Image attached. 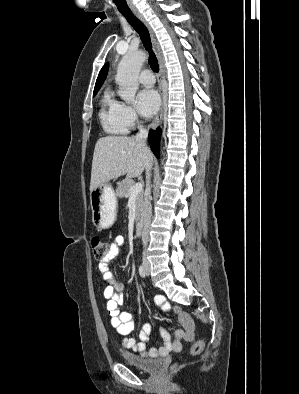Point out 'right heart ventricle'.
I'll list each match as a JSON object with an SVG mask.
<instances>
[{
	"label": "right heart ventricle",
	"instance_id": "right-heart-ventricle-1",
	"mask_svg": "<svg viewBox=\"0 0 299 394\" xmlns=\"http://www.w3.org/2000/svg\"><path fill=\"white\" fill-rule=\"evenodd\" d=\"M123 104L116 100L110 91H106L101 100L100 120L104 130L112 135L126 134L128 128L122 115Z\"/></svg>",
	"mask_w": 299,
	"mask_h": 394
}]
</instances>
